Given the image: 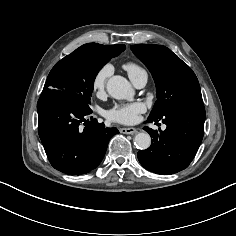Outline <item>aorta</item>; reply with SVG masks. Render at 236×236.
I'll list each match as a JSON object with an SVG mask.
<instances>
[{"label":"aorta","mask_w":236,"mask_h":236,"mask_svg":"<svg viewBox=\"0 0 236 236\" xmlns=\"http://www.w3.org/2000/svg\"><path fill=\"white\" fill-rule=\"evenodd\" d=\"M107 91L115 99H131L134 96V89L129 81L119 75L108 80ZM134 143L140 150L148 149L151 145V137L147 132H139L135 135Z\"/></svg>","instance_id":"obj_1"}]
</instances>
